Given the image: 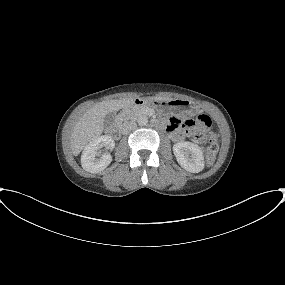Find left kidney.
Segmentation results:
<instances>
[{"instance_id":"1","label":"left kidney","mask_w":285,"mask_h":285,"mask_svg":"<svg viewBox=\"0 0 285 285\" xmlns=\"http://www.w3.org/2000/svg\"><path fill=\"white\" fill-rule=\"evenodd\" d=\"M173 153L177 162L185 170L198 173L204 169V156L201 148L191 142H178L173 145Z\"/></svg>"}]
</instances>
